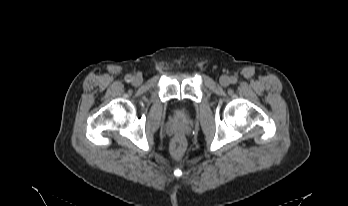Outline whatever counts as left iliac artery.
I'll return each instance as SVG.
<instances>
[{"label": "left iliac artery", "instance_id": "1", "mask_svg": "<svg viewBox=\"0 0 348 206\" xmlns=\"http://www.w3.org/2000/svg\"><path fill=\"white\" fill-rule=\"evenodd\" d=\"M236 82H237V79H236L235 77H232V78H231V83H232V84H235Z\"/></svg>", "mask_w": 348, "mask_h": 206}]
</instances>
